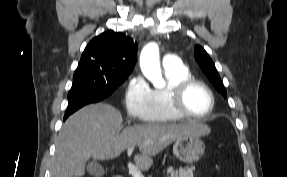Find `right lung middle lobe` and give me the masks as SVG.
Returning <instances> with one entry per match:
<instances>
[{
  "label": "right lung middle lobe",
  "mask_w": 287,
  "mask_h": 177,
  "mask_svg": "<svg viewBox=\"0 0 287 177\" xmlns=\"http://www.w3.org/2000/svg\"><path fill=\"white\" fill-rule=\"evenodd\" d=\"M126 78L107 80L98 72L77 68L73 76V84L68 93V98L83 93H97L108 97Z\"/></svg>",
  "instance_id": "obj_1"
}]
</instances>
